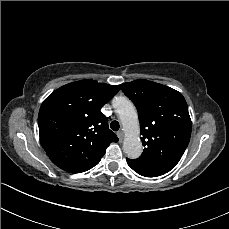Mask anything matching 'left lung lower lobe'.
<instances>
[{
  "mask_svg": "<svg viewBox=\"0 0 229 229\" xmlns=\"http://www.w3.org/2000/svg\"><path fill=\"white\" fill-rule=\"evenodd\" d=\"M127 162H128V165L133 169L135 170L137 173H139L140 175L142 176H145V177H150L149 175H147L146 173L140 171L139 169H137L131 162L129 159H127Z\"/></svg>",
  "mask_w": 229,
  "mask_h": 229,
  "instance_id": "obj_1",
  "label": "left lung lower lobe"
}]
</instances>
